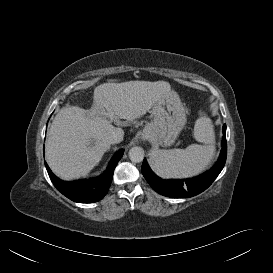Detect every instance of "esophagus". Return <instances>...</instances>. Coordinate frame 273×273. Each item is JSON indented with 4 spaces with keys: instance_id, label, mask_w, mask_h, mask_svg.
I'll list each match as a JSON object with an SVG mask.
<instances>
[{
    "instance_id": "obj_1",
    "label": "esophagus",
    "mask_w": 273,
    "mask_h": 273,
    "mask_svg": "<svg viewBox=\"0 0 273 273\" xmlns=\"http://www.w3.org/2000/svg\"><path fill=\"white\" fill-rule=\"evenodd\" d=\"M144 140H146V139H148V136H146V135H143V137H142Z\"/></svg>"
}]
</instances>
